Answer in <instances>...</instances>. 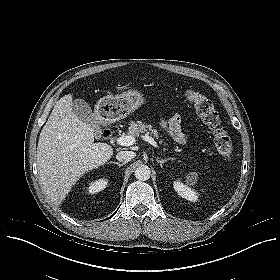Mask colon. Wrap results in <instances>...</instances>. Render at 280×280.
<instances>
[{
	"label": "colon",
	"mask_w": 280,
	"mask_h": 280,
	"mask_svg": "<svg viewBox=\"0 0 280 280\" xmlns=\"http://www.w3.org/2000/svg\"><path fill=\"white\" fill-rule=\"evenodd\" d=\"M184 98L195 107L198 116L211 130L214 145L221 158L225 161L231 160L233 156L231 139L221 123L220 115L213 102L193 89H187Z\"/></svg>",
	"instance_id": "colon-1"
}]
</instances>
